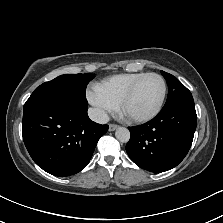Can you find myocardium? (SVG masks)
<instances>
[{"label":"myocardium","instance_id":"obj_1","mask_svg":"<svg viewBox=\"0 0 223 223\" xmlns=\"http://www.w3.org/2000/svg\"><path fill=\"white\" fill-rule=\"evenodd\" d=\"M150 76H155L157 77L162 84V92H161V96L160 99L158 101L157 106L155 107V109L150 112L147 115L144 116H132V115H126L121 111V108L130 100V98L134 95V93L136 92L137 88L139 87V85L143 82L144 79H146L147 77ZM166 91H167V87H166V82L164 80V78L157 74V73H146L145 75H143L141 78H139L130 88L129 90L124 94V96L120 99V101L118 102L119 105V112H118V117L120 118H126L129 121H133V122H137V123H144V122H148L150 120H152L153 118H155L159 112L162 109L165 97H166Z\"/></svg>","mask_w":223,"mask_h":223}]
</instances>
